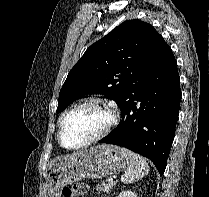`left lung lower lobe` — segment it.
Wrapping results in <instances>:
<instances>
[{"mask_svg": "<svg viewBox=\"0 0 209 197\" xmlns=\"http://www.w3.org/2000/svg\"><path fill=\"white\" fill-rule=\"evenodd\" d=\"M177 62L167 43L119 105L120 124L100 143L120 145L165 171L180 109Z\"/></svg>", "mask_w": 209, "mask_h": 197, "instance_id": "0a47b994", "label": "left lung lower lobe"}]
</instances>
